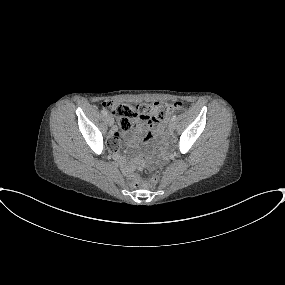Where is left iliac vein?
Instances as JSON below:
<instances>
[{
	"label": "left iliac vein",
	"instance_id": "4c4485c4",
	"mask_svg": "<svg viewBox=\"0 0 285 285\" xmlns=\"http://www.w3.org/2000/svg\"><path fill=\"white\" fill-rule=\"evenodd\" d=\"M168 129L170 131H173L175 129V122L173 120L169 122Z\"/></svg>",
	"mask_w": 285,
	"mask_h": 285
}]
</instances>
